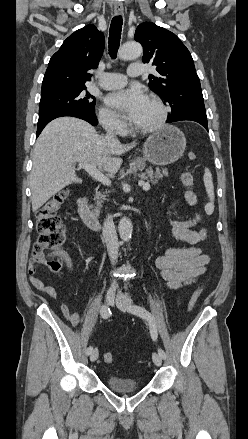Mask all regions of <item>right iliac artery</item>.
<instances>
[{
  "mask_svg": "<svg viewBox=\"0 0 248 439\" xmlns=\"http://www.w3.org/2000/svg\"><path fill=\"white\" fill-rule=\"evenodd\" d=\"M100 314H101L102 318L107 319L110 316L111 311H110V309L107 306L103 305L101 307ZM92 351H93V347L89 346L86 349V354L89 355Z\"/></svg>",
  "mask_w": 248,
  "mask_h": 439,
  "instance_id": "82829eb1",
  "label": "right iliac artery"
}]
</instances>
